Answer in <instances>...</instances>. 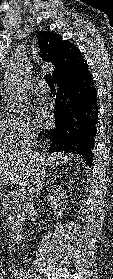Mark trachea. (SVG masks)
Instances as JSON below:
<instances>
[{
  "instance_id": "3493384b",
  "label": "trachea",
  "mask_w": 113,
  "mask_h": 279,
  "mask_svg": "<svg viewBox=\"0 0 113 279\" xmlns=\"http://www.w3.org/2000/svg\"><path fill=\"white\" fill-rule=\"evenodd\" d=\"M44 79L45 81L47 82L48 86L51 88V89H55V86H54V82H53V79L51 77L50 74H46L44 76Z\"/></svg>"
}]
</instances>
